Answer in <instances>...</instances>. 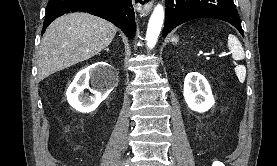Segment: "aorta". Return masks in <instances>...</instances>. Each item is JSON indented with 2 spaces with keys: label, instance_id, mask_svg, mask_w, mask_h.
<instances>
[{
  "label": "aorta",
  "instance_id": "762f6f07",
  "mask_svg": "<svg viewBox=\"0 0 277 166\" xmlns=\"http://www.w3.org/2000/svg\"><path fill=\"white\" fill-rule=\"evenodd\" d=\"M164 20V8L161 4H158L150 17L147 33L146 42L148 48L152 49L157 43L162 25Z\"/></svg>",
  "mask_w": 277,
  "mask_h": 166
}]
</instances>
